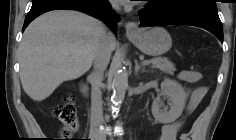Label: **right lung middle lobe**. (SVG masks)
<instances>
[{
    "label": "right lung middle lobe",
    "instance_id": "right-lung-middle-lobe-1",
    "mask_svg": "<svg viewBox=\"0 0 236 140\" xmlns=\"http://www.w3.org/2000/svg\"><path fill=\"white\" fill-rule=\"evenodd\" d=\"M93 3H95V4H101L102 3V0H91Z\"/></svg>",
    "mask_w": 236,
    "mask_h": 140
}]
</instances>
